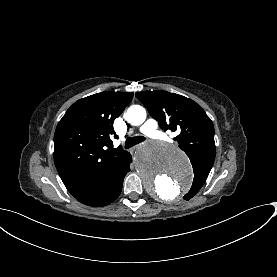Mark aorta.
Listing matches in <instances>:
<instances>
[{"label":"aorta","instance_id":"obj_1","mask_svg":"<svg viewBox=\"0 0 277 277\" xmlns=\"http://www.w3.org/2000/svg\"><path fill=\"white\" fill-rule=\"evenodd\" d=\"M126 119L132 125H141L146 119V111L140 105H133L127 110ZM135 166L146 191L159 201H174L191 187L188 159L175 145L162 141L141 144Z\"/></svg>","mask_w":277,"mask_h":277}]
</instances>
